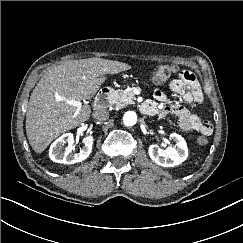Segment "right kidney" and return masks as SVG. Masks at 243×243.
Listing matches in <instances>:
<instances>
[{
  "label": "right kidney",
  "instance_id": "right-kidney-1",
  "mask_svg": "<svg viewBox=\"0 0 243 243\" xmlns=\"http://www.w3.org/2000/svg\"><path fill=\"white\" fill-rule=\"evenodd\" d=\"M68 143L64 149L63 146ZM84 146L80 152H74V136L72 133H65L56 139L50 146L49 157L56 163L74 164L84 161L92 151L93 137L87 136L83 140Z\"/></svg>",
  "mask_w": 243,
  "mask_h": 243
}]
</instances>
